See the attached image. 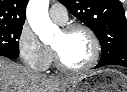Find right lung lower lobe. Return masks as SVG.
<instances>
[{"instance_id": "right-lung-lower-lobe-1", "label": "right lung lower lobe", "mask_w": 127, "mask_h": 92, "mask_svg": "<svg viewBox=\"0 0 127 92\" xmlns=\"http://www.w3.org/2000/svg\"><path fill=\"white\" fill-rule=\"evenodd\" d=\"M0 56H5V57H7L9 59H15L16 58V56L9 55V54H6V53H0Z\"/></svg>"}]
</instances>
